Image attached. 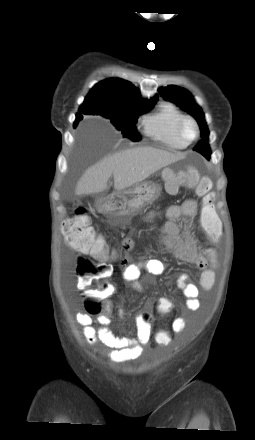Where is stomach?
<instances>
[{
    "mask_svg": "<svg viewBox=\"0 0 255 440\" xmlns=\"http://www.w3.org/2000/svg\"><path fill=\"white\" fill-rule=\"evenodd\" d=\"M160 186L152 182L113 193L110 197L96 202L98 211L111 215L120 224H126L142 209L151 205L160 194Z\"/></svg>",
    "mask_w": 255,
    "mask_h": 440,
    "instance_id": "1",
    "label": "stomach"
}]
</instances>
